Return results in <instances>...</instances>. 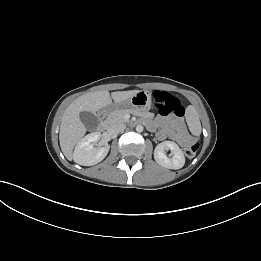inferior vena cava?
<instances>
[{
	"label": "inferior vena cava",
	"instance_id": "inferior-vena-cava-1",
	"mask_svg": "<svg viewBox=\"0 0 261 261\" xmlns=\"http://www.w3.org/2000/svg\"><path fill=\"white\" fill-rule=\"evenodd\" d=\"M125 128H126L125 124L116 123V124H113L109 127L108 132L110 134H117V133L123 132L125 130Z\"/></svg>",
	"mask_w": 261,
	"mask_h": 261
}]
</instances>
